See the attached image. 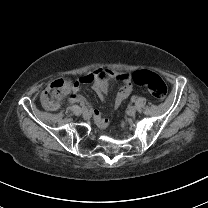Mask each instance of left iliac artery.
<instances>
[{
  "label": "left iliac artery",
  "instance_id": "left-iliac-artery-1",
  "mask_svg": "<svg viewBox=\"0 0 208 208\" xmlns=\"http://www.w3.org/2000/svg\"><path fill=\"white\" fill-rule=\"evenodd\" d=\"M131 101H132V102H135V97H132V98H131Z\"/></svg>",
  "mask_w": 208,
  "mask_h": 208
}]
</instances>
